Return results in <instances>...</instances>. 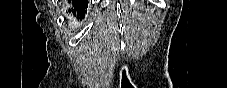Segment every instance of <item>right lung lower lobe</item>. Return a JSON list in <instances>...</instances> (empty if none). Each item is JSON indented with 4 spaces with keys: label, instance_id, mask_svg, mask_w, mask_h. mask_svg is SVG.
<instances>
[{
    "label": "right lung lower lobe",
    "instance_id": "obj_1",
    "mask_svg": "<svg viewBox=\"0 0 227 88\" xmlns=\"http://www.w3.org/2000/svg\"><path fill=\"white\" fill-rule=\"evenodd\" d=\"M70 7L67 10L71 18L82 20L88 7V0H70Z\"/></svg>",
    "mask_w": 227,
    "mask_h": 88
}]
</instances>
